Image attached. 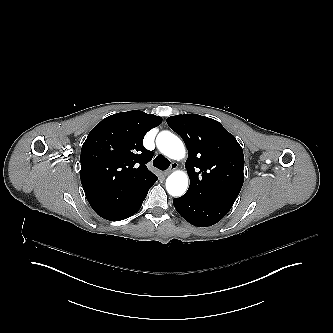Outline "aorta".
<instances>
[{
  "label": "aorta",
  "instance_id": "762f6f07",
  "mask_svg": "<svg viewBox=\"0 0 333 333\" xmlns=\"http://www.w3.org/2000/svg\"><path fill=\"white\" fill-rule=\"evenodd\" d=\"M159 150L172 160L180 161L186 157V149L183 142L175 135L168 134L161 142L157 143ZM189 185L188 175L177 170L166 179V189L172 196L183 195Z\"/></svg>",
  "mask_w": 333,
  "mask_h": 333
}]
</instances>
